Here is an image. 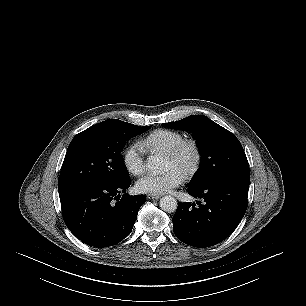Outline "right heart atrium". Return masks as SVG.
Here are the masks:
<instances>
[{
	"mask_svg": "<svg viewBox=\"0 0 306 306\" xmlns=\"http://www.w3.org/2000/svg\"><path fill=\"white\" fill-rule=\"evenodd\" d=\"M123 163L132 175H140L146 167L145 152L140 143H131L123 152Z\"/></svg>",
	"mask_w": 306,
	"mask_h": 306,
	"instance_id": "1",
	"label": "right heart atrium"
}]
</instances>
